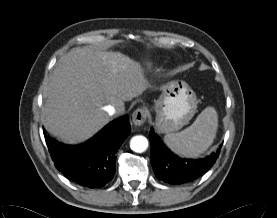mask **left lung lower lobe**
<instances>
[{"instance_id": "0a47b994", "label": "left lung lower lobe", "mask_w": 277, "mask_h": 218, "mask_svg": "<svg viewBox=\"0 0 277 218\" xmlns=\"http://www.w3.org/2000/svg\"><path fill=\"white\" fill-rule=\"evenodd\" d=\"M151 141V164L156 177L169 184L190 182L205 172L215 163L220 150L204 159H181L175 156L155 134L153 128L149 135ZM222 145L220 146V148Z\"/></svg>"}]
</instances>
